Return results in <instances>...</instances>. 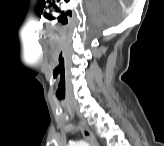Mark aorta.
Returning a JSON list of instances; mask_svg holds the SVG:
<instances>
[{"instance_id": "762f6f07", "label": "aorta", "mask_w": 164, "mask_h": 146, "mask_svg": "<svg viewBox=\"0 0 164 146\" xmlns=\"http://www.w3.org/2000/svg\"><path fill=\"white\" fill-rule=\"evenodd\" d=\"M80 144H81V146H86L87 145V143H85V142H82Z\"/></svg>"}]
</instances>
